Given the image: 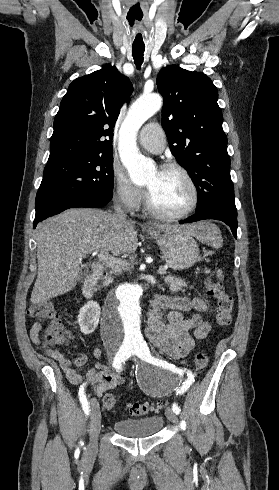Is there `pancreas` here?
I'll use <instances>...</instances> for the list:
<instances>
[{
  "instance_id": "obj_1",
  "label": "pancreas",
  "mask_w": 279,
  "mask_h": 490,
  "mask_svg": "<svg viewBox=\"0 0 279 490\" xmlns=\"http://www.w3.org/2000/svg\"><path fill=\"white\" fill-rule=\"evenodd\" d=\"M116 270H118V272H124V270H130V264H126V266H118V268H113L110 274H116ZM162 276L164 278L165 284H168L169 290H171V292H177V290H183V288H186L187 286V284H185L183 280H180V278H176V276H171V274L170 276H164V274H162Z\"/></svg>"
}]
</instances>
